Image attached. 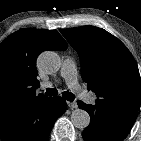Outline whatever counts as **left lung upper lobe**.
<instances>
[{"label":"left lung upper lobe","instance_id":"left-lung-upper-lobe-1","mask_svg":"<svg viewBox=\"0 0 141 141\" xmlns=\"http://www.w3.org/2000/svg\"><path fill=\"white\" fill-rule=\"evenodd\" d=\"M60 32L79 54L82 79L96 93V104L117 111H138L141 79L126 46L109 32L94 26Z\"/></svg>","mask_w":141,"mask_h":141}]
</instances>
